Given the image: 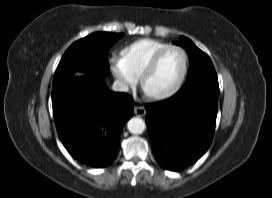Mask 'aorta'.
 <instances>
[{"label": "aorta", "instance_id": "762f6f07", "mask_svg": "<svg viewBox=\"0 0 272 198\" xmlns=\"http://www.w3.org/2000/svg\"><path fill=\"white\" fill-rule=\"evenodd\" d=\"M145 127H146L145 122L139 117L131 118L127 123V128L129 132L132 134L143 133V131L145 130Z\"/></svg>", "mask_w": 272, "mask_h": 198}]
</instances>
